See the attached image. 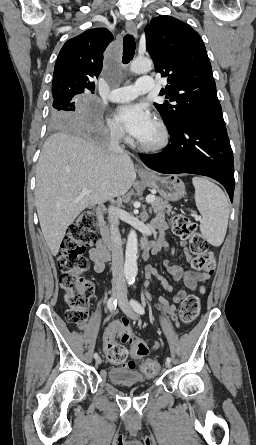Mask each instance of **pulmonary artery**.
<instances>
[{
	"instance_id": "obj_1",
	"label": "pulmonary artery",
	"mask_w": 256,
	"mask_h": 445,
	"mask_svg": "<svg viewBox=\"0 0 256 445\" xmlns=\"http://www.w3.org/2000/svg\"><path fill=\"white\" fill-rule=\"evenodd\" d=\"M154 89V79L151 76L140 77L135 85L124 86L112 90L109 100L115 103L129 102L138 95L150 92Z\"/></svg>"
}]
</instances>
